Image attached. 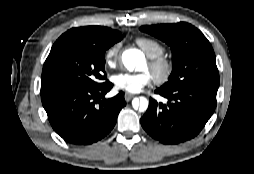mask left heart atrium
Masks as SVG:
<instances>
[{"mask_svg": "<svg viewBox=\"0 0 254 174\" xmlns=\"http://www.w3.org/2000/svg\"><path fill=\"white\" fill-rule=\"evenodd\" d=\"M153 81V76L149 72L142 73H119L113 76V83L119 90L129 93H138Z\"/></svg>", "mask_w": 254, "mask_h": 174, "instance_id": "1", "label": "left heart atrium"}]
</instances>
